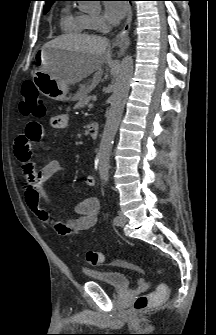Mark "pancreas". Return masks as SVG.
I'll list each match as a JSON object with an SVG mask.
<instances>
[{"label":"pancreas","mask_w":216,"mask_h":335,"mask_svg":"<svg viewBox=\"0 0 216 335\" xmlns=\"http://www.w3.org/2000/svg\"><path fill=\"white\" fill-rule=\"evenodd\" d=\"M78 100L79 101L74 106V109L84 108L86 105H88L89 101L91 100V96L88 95V90L87 89L82 90V93H81Z\"/></svg>","instance_id":"cf45deb5"}]
</instances>
